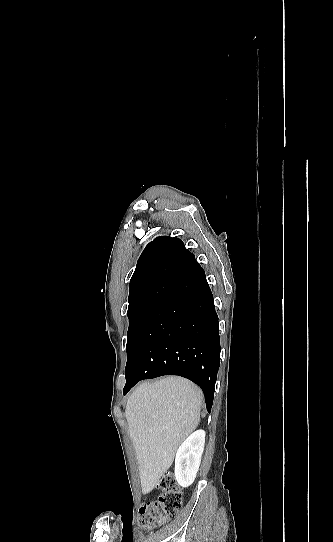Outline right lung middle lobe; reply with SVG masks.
Returning a JSON list of instances; mask_svg holds the SVG:
<instances>
[{
  "instance_id": "right-lung-middle-lobe-1",
  "label": "right lung middle lobe",
  "mask_w": 333,
  "mask_h": 542,
  "mask_svg": "<svg viewBox=\"0 0 333 542\" xmlns=\"http://www.w3.org/2000/svg\"><path fill=\"white\" fill-rule=\"evenodd\" d=\"M165 295L151 298L141 304L128 308L129 328L127 333V365L135 356V343L149 315ZM126 365V366H127Z\"/></svg>"
}]
</instances>
